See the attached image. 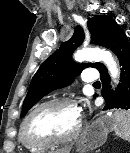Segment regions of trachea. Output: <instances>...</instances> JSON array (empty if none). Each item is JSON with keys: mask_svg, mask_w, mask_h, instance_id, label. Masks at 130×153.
I'll use <instances>...</instances> for the list:
<instances>
[{"mask_svg": "<svg viewBox=\"0 0 130 153\" xmlns=\"http://www.w3.org/2000/svg\"><path fill=\"white\" fill-rule=\"evenodd\" d=\"M93 85H100V82L97 81V82H95Z\"/></svg>", "mask_w": 130, "mask_h": 153, "instance_id": "trachea-1", "label": "trachea"}]
</instances>
